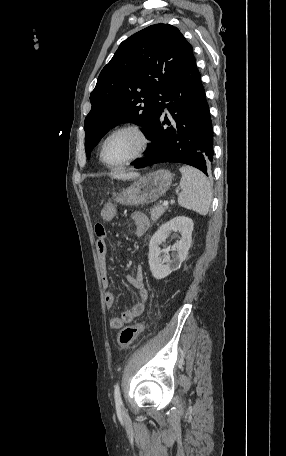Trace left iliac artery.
<instances>
[{"mask_svg": "<svg viewBox=\"0 0 286 456\" xmlns=\"http://www.w3.org/2000/svg\"><path fill=\"white\" fill-rule=\"evenodd\" d=\"M114 398H115L116 405L121 406L123 404L122 399H121V394H120L119 383H117L114 387Z\"/></svg>", "mask_w": 286, "mask_h": 456, "instance_id": "1", "label": "left iliac artery"}]
</instances>
